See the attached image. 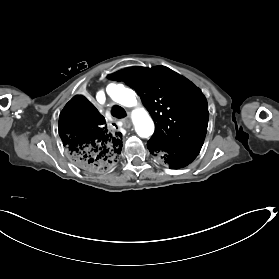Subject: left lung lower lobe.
<instances>
[{"label":"left lung lower lobe","mask_w":279,"mask_h":279,"mask_svg":"<svg viewBox=\"0 0 279 279\" xmlns=\"http://www.w3.org/2000/svg\"><path fill=\"white\" fill-rule=\"evenodd\" d=\"M147 147L152 155L159 156L172 169L187 166L199 153L197 149L160 146L149 141L147 142Z\"/></svg>","instance_id":"1"}]
</instances>
